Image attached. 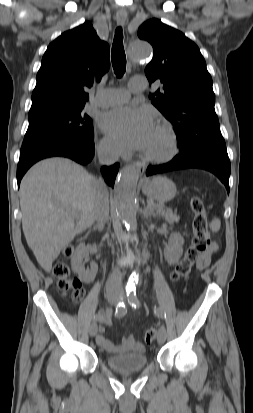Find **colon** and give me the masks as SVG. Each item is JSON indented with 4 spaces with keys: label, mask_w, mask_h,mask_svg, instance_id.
I'll use <instances>...</instances> for the list:
<instances>
[{
    "label": "colon",
    "mask_w": 253,
    "mask_h": 413,
    "mask_svg": "<svg viewBox=\"0 0 253 413\" xmlns=\"http://www.w3.org/2000/svg\"><path fill=\"white\" fill-rule=\"evenodd\" d=\"M191 208L194 213L193 237L184 257L179 261L170 274V279L173 282H178L188 276L193 266L199 262L202 255L211 244L208 229V218L202 199L195 196L191 201ZM72 253V246L67 247L64 251L66 258L70 257ZM53 273L58 278V287L65 296L70 297L76 302L83 298L84 290L82 288L81 281L72 276L71 269L65 261L56 263L53 268ZM155 337L156 330L154 328H149L146 330L144 334V340L146 343L153 342Z\"/></svg>",
    "instance_id": "1"
}]
</instances>
